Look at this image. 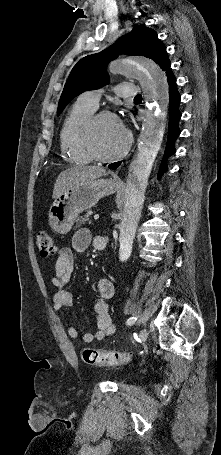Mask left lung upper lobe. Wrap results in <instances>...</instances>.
I'll return each instance as SVG.
<instances>
[{"mask_svg": "<svg viewBox=\"0 0 221 455\" xmlns=\"http://www.w3.org/2000/svg\"><path fill=\"white\" fill-rule=\"evenodd\" d=\"M121 53L150 58L163 71L170 66L166 47L157 38V33L148 27L137 25L130 33L120 37L109 48L99 53L85 56L77 62L61 94L58 115L79 94L108 84L109 76L106 72V66Z\"/></svg>", "mask_w": 221, "mask_h": 455, "instance_id": "5c2ea615", "label": "left lung upper lobe"}]
</instances>
